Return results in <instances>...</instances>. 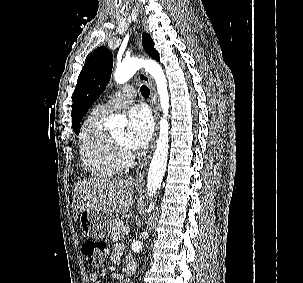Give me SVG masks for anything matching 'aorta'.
I'll return each instance as SVG.
<instances>
[{
  "label": "aorta",
  "mask_w": 303,
  "mask_h": 283,
  "mask_svg": "<svg viewBox=\"0 0 303 283\" xmlns=\"http://www.w3.org/2000/svg\"><path fill=\"white\" fill-rule=\"evenodd\" d=\"M142 67L156 82L160 106L163 111V117L160 120L159 138L147 177V195L151 201L147 212L150 215L155 207V203L152 200L156 197L157 191L161 187L168 160L169 123L167 117L169 113V93L167 89V80L162 67L157 62L139 58L123 60L115 70L114 80L117 84H124ZM126 125L127 120L119 115H111L106 121V127L110 130L124 128Z\"/></svg>",
  "instance_id": "1"
}]
</instances>
